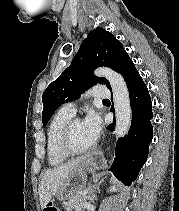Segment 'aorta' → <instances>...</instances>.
<instances>
[{
	"instance_id": "obj_1",
	"label": "aorta",
	"mask_w": 179,
	"mask_h": 211,
	"mask_svg": "<svg viewBox=\"0 0 179 211\" xmlns=\"http://www.w3.org/2000/svg\"><path fill=\"white\" fill-rule=\"evenodd\" d=\"M94 74L105 77L110 82L116 115L115 134L117 137H124L129 131L132 118L126 83L119 73L107 67L96 69Z\"/></svg>"
}]
</instances>
